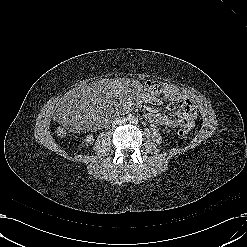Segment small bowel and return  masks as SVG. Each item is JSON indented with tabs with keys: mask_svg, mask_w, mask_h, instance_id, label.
Returning <instances> with one entry per match:
<instances>
[{
	"mask_svg": "<svg viewBox=\"0 0 247 247\" xmlns=\"http://www.w3.org/2000/svg\"><path fill=\"white\" fill-rule=\"evenodd\" d=\"M160 84L163 91V98L166 101L174 102L177 105V110L174 116H169L165 113H149L146 118L150 123H154L167 128H179L187 126L190 129L195 124V109L192 101L186 97L177 87L167 84ZM150 100L156 104H162V98Z\"/></svg>",
	"mask_w": 247,
	"mask_h": 247,
	"instance_id": "c3829d8e",
	"label": "small bowel"
}]
</instances>
